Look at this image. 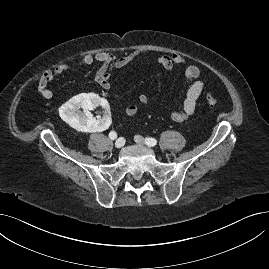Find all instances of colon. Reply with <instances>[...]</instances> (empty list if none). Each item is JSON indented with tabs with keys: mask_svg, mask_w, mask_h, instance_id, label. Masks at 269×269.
I'll return each instance as SVG.
<instances>
[{
	"mask_svg": "<svg viewBox=\"0 0 269 269\" xmlns=\"http://www.w3.org/2000/svg\"><path fill=\"white\" fill-rule=\"evenodd\" d=\"M204 98H205L206 103L209 105H215L218 103V97L211 90H207L205 92Z\"/></svg>",
	"mask_w": 269,
	"mask_h": 269,
	"instance_id": "obj_1",
	"label": "colon"
}]
</instances>
